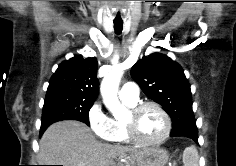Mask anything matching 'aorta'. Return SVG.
<instances>
[{"label":"aorta","instance_id":"aorta-1","mask_svg":"<svg viewBox=\"0 0 236 166\" xmlns=\"http://www.w3.org/2000/svg\"><path fill=\"white\" fill-rule=\"evenodd\" d=\"M122 74L123 72L119 69L111 71L102 80L100 87L103 102L114 117H119L127 112V109L120 104L117 97Z\"/></svg>","mask_w":236,"mask_h":166}]
</instances>
